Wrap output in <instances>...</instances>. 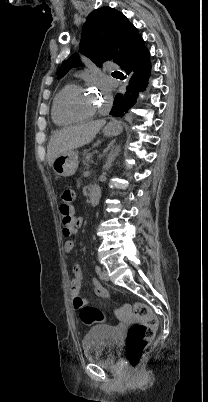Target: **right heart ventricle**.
Listing matches in <instances>:
<instances>
[{
	"label": "right heart ventricle",
	"instance_id": "right-heart-ventricle-1",
	"mask_svg": "<svg viewBox=\"0 0 208 402\" xmlns=\"http://www.w3.org/2000/svg\"><path fill=\"white\" fill-rule=\"evenodd\" d=\"M74 84H65L54 96L51 105V118L54 124L58 127H69L77 125L86 119L73 118L65 113L62 107V99L64 94L72 87Z\"/></svg>",
	"mask_w": 208,
	"mask_h": 402
}]
</instances>
